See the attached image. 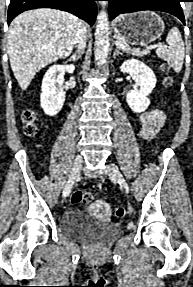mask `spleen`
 <instances>
[{"instance_id": "1", "label": "spleen", "mask_w": 193, "mask_h": 287, "mask_svg": "<svg viewBox=\"0 0 193 287\" xmlns=\"http://www.w3.org/2000/svg\"><path fill=\"white\" fill-rule=\"evenodd\" d=\"M166 41L169 47L158 48L156 55L166 61L175 72H179L182 69L185 48L181 33L177 27L171 28Z\"/></svg>"}]
</instances>
